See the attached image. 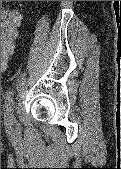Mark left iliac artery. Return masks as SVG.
Instances as JSON below:
<instances>
[{
  "mask_svg": "<svg viewBox=\"0 0 121 169\" xmlns=\"http://www.w3.org/2000/svg\"><path fill=\"white\" fill-rule=\"evenodd\" d=\"M4 107H5V112H4L5 119L9 122H14L15 117L13 114V91L12 90H9L6 93Z\"/></svg>",
  "mask_w": 121,
  "mask_h": 169,
  "instance_id": "left-iliac-artery-1",
  "label": "left iliac artery"
}]
</instances>
